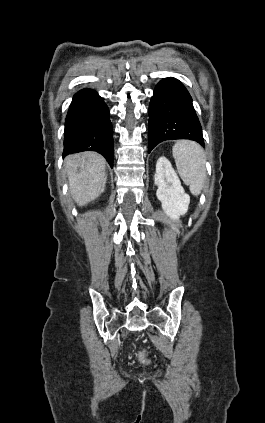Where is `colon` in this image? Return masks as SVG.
Segmentation results:
<instances>
[{"label": "colon", "instance_id": "colon-1", "mask_svg": "<svg viewBox=\"0 0 265 423\" xmlns=\"http://www.w3.org/2000/svg\"><path fill=\"white\" fill-rule=\"evenodd\" d=\"M141 358H143V359L145 358L144 354L141 355Z\"/></svg>", "mask_w": 265, "mask_h": 423}]
</instances>
